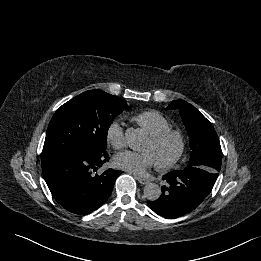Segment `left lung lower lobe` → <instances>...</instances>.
Segmentation results:
<instances>
[{
    "label": "left lung lower lobe",
    "instance_id": "0a47b994",
    "mask_svg": "<svg viewBox=\"0 0 261 261\" xmlns=\"http://www.w3.org/2000/svg\"><path fill=\"white\" fill-rule=\"evenodd\" d=\"M218 171L204 166H187L163 176L162 195L148 206L158 215L175 219L193 211L211 192Z\"/></svg>",
    "mask_w": 261,
    "mask_h": 261
}]
</instances>
